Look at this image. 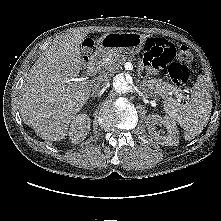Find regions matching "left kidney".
Listing matches in <instances>:
<instances>
[{"mask_svg": "<svg viewBox=\"0 0 221 221\" xmlns=\"http://www.w3.org/2000/svg\"><path fill=\"white\" fill-rule=\"evenodd\" d=\"M163 125L167 129L166 135H161L156 131L155 125ZM147 129L150 136L163 146H176L179 143L178 130L175 123L167 118H162L159 115H149L147 121Z\"/></svg>", "mask_w": 221, "mask_h": 221, "instance_id": "obj_1", "label": "left kidney"}]
</instances>
